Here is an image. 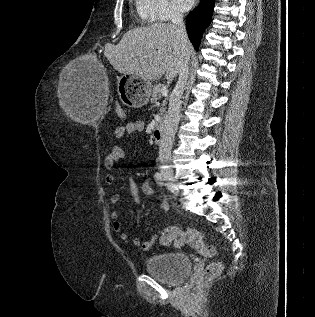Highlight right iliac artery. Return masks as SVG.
<instances>
[{"label":"right iliac artery","instance_id":"right-iliac-artery-1","mask_svg":"<svg viewBox=\"0 0 315 317\" xmlns=\"http://www.w3.org/2000/svg\"><path fill=\"white\" fill-rule=\"evenodd\" d=\"M154 177L159 185H163L162 175L159 172H156Z\"/></svg>","mask_w":315,"mask_h":317}]
</instances>
